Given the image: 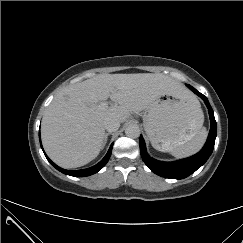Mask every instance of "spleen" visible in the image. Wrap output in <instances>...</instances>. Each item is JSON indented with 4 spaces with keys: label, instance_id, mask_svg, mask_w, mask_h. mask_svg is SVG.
<instances>
[{
    "label": "spleen",
    "instance_id": "obj_1",
    "mask_svg": "<svg viewBox=\"0 0 243 243\" xmlns=\"http://www.w3.org/2000/svg\"><path fill=\"white\" fill-rule=\"evenodd\" d=\"M200 114L203 117L202 111H200ZM206 138H207V131L205 128H202L191 140H189L188 142L182 145L172 148L170 152L176 158H184V157L191 156L197 153L202 148V146L206 141Z\"/></svg>",
    "mask_w": 243,
    "mask_h": 243
}]
</instances>
